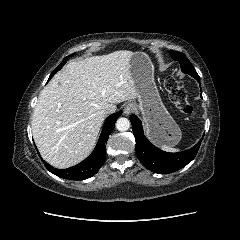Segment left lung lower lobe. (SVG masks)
<instances>
[{"label": "left lung lower lobe", "mask_w": 240, "mask_h": 240, "mask_svg": "<svg viewBox=\"0 0 240 240\" xmlns=\"http://www.w3.org/2000/svg\"><path fill=\"white\" fill-rule=\"evenodd\" d=\"M199 83V76L194 77ZM136 140V154L145 168L153 173L165 174L179 170L191 162L200 147L201 140L193 148L177 153L164 152L152 145L144 136L141 121L136 115L130 116Z\"/></svg>", "instance_id": "0a47b994"}]
</instances>
